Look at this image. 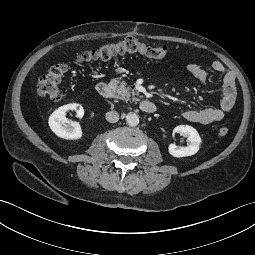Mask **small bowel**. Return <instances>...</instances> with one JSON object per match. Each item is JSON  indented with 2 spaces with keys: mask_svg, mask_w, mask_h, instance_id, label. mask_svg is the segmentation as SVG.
<instances>
[{
  "mask_svg": "<svg viewBox=\"0 0 255 255\" xmlns=\"http://www.w3.org/2000/svg\"><path fill=\"white\" fill-rule=\"evenodd\" d=\"M212 68L216 72L223 74V92L219 107H208L203 109L186 110L182 116L191 122L200 124H211L221 121L226 114L230 113L234 107L236 99L235 75L222 62L214 61ZM186 70L192 74L202 84H207L209 77L205 69L196 63H189Z\"/></svg>",
  "mask_w": 255,
  "mask_h": 255,
  "instance_id": "obj_1",
  "label": "small bowel"
}]
</instances>
